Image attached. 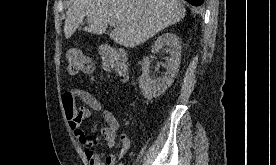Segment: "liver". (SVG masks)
<instances>
[{
  "mask_svg": "<svg viewBox=\"0 0 276 165\" xmlns=\"http://www.w3.org/2000/svg\"><path fill=\"white\" fill-rule=\"evenodd\" d=\"M66 14V39L87 17L85 31L102 34L113 25L110 38L133 48L181 21L186 10L179 0H75Z\"/></svg>",
  "mask_w": 276,
  "mask_h": 165,
  "instance_id": "1",
  "label": "liver"
}]
</instances>
